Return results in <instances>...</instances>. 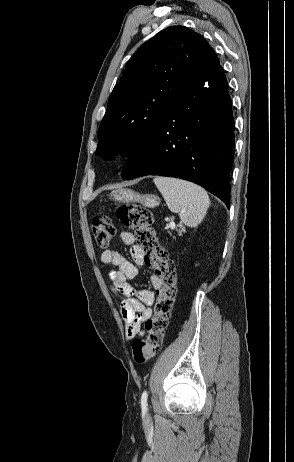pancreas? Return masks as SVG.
Wrapping results in <instances>:
<instances>
[{
	"label": "pancreas",
	"mask_w": 294,
	"mask_h": 462,
	"mask_svg": "<svg viewBox=\"0 0 294 462\" xmlns=\"http://www.w3.org/2000/svg\"><path fill=\"white\" fill-rule=\"evenodd\" d=\"M183 232H185V227L181 225L179 229V234H182Z\"/></svg>",
	"instance_id": "1"
}]
</instances>
